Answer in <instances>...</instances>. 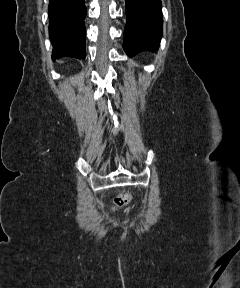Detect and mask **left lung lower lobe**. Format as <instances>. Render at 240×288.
<instances>
[{"label": "left lung lower lobe", "instance_id": "left-lung-lower-lobe-1", "mask_svg": "<svg viewBox=\"0 0 240 288\" xmlns=\"http://www.w3.org/2000/svg\"><path fill=\"white\" fill-rule=\"evenodd\" d=\"M127 23L123 48L128 56L154 51L162 35L161 0H125Z\"/></svg>", "mask_w": 240, "mask_h": 288}]
</instances>
